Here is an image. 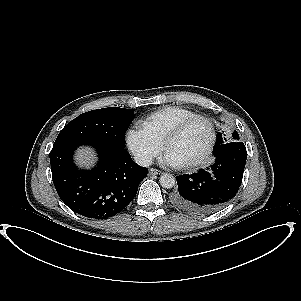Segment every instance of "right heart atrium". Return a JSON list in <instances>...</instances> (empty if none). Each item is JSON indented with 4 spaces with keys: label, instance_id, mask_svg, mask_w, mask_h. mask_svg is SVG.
Segmentation results:
<instances>
[{
    "label": "right heart atrium",
    "instance_id": "1",
    "mask_svg": "<svg viewBox=\"0 0 301 301\" xmlns=\"http://www.w3.org/2000/svg\"><path fill=\"white\" fill-rule=\"evenodd\" d=\"M126 144L136 159L144 165L150 164L162 150V143L140 127L127 131Z\"/></svg>",
    "mask_w": 301,
    "mask_h": 301
}]
</instances>
